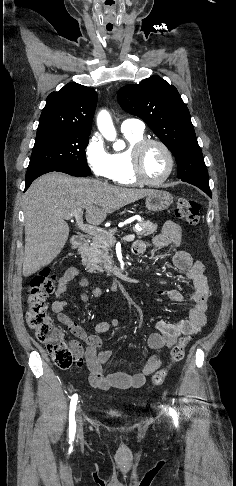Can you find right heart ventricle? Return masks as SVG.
I'll return each mask as SVG.
<instances>
[{
  "label": "right heart ventricle",
  "instance_id": "1",
  "mask_svg": "<svg viewBox=\"0 0 236 486\" xmlns=\"http://www.w3.org/2000/svg\"><path fill=\"white\" fill-rule=\"evenodd\" d=\"M128 142V147L122 151L111 154L112 174L111 180L120 185H137L139 182L133 175L131 166V149L143 140L144 132L122 131Z\"/></svg>",
  "mask_w": 236,
  "mask_h": 486
}]
</instances>
